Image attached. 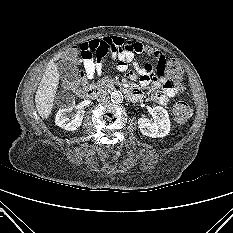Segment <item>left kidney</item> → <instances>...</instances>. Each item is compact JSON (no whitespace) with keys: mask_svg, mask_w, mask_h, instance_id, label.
<instances>
[{"mask_svg":"<svg viewBox=\"0 0 233 233\" xmlns=\"http://www.w3.org/2000/svg\"><path fill=\"white\" fill-rule=\"evenodd\" d=\"M153 122L148 118L141 117L138 119L140 132L148 137L160 138L168 135L170 132V119L166 109L156 106L151 109Z\"/></svg>","mask_w":233,"mask_h":233,"instance_id":"obj_1","label":"left kidney"}]
</instances>
